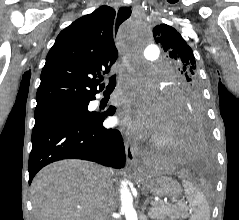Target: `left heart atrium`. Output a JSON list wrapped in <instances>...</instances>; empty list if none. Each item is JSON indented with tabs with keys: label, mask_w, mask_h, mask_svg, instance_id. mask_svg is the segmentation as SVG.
<instances>
[{
	"label": "left heart atrium",
	"mask_w": 239,
	"mask_h": 220,
	"mask_svg": "<svg viewBox=\"0 0 239 220\" xmlns=\"http://www.w3.org/2000/svg\"><path fill=\"white\" fill-rule=\"evenodd\" d=\"M125 111L127 114H140L141 117L134 124V127L139 131L153 130L156 126V117L154 116L155 110L150 103L138 94H123L121 97ZM117 124L124 125L128 128L132 127V123L127 120L116 119Z\"/></svg>",
	"instance_id": "obj_1"
}]
</instances>
